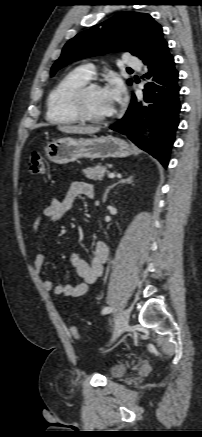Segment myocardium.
<instances>
[{"instance_id": "1", "label": "myocardium", "mask_w": 202, "mask_h": 437, "mask_svg": "<svg viewBox=\"0 0 202 437\" xmlns=\"http://www.w3.org/2000/svg\"><path fill=\"white\" fill-rule=\"evenodd\" d=\"M97 88L103 87L98 82L88 80L75 88L74 91L71 93L70 106L73 113L80 121L101 124L109 122L116 116V110H114V112L110 115L104 117L93 116L87 111L85 104L86 96L90 90Z\"/></svg>"}]
</instances>
